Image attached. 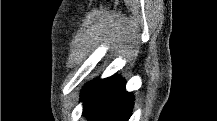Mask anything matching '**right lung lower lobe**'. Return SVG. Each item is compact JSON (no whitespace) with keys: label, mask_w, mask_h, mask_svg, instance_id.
<instances>
[{"label":"right lung lower lobe","mask_w":217,"mask_h":121,"mask_svg":"<svg viewBox=\"0 0 217 121\" xmlns=\"http://www.w3.org/2000/svg\"><path fill=\"white\" fill-rule=\"evenodd\" d=\"M81 100L91 121H128L133 107V95L126 92L125 81L117 75L87 84Z\"/></svg>","instance_id":"98d812e1"}]
</instances>
